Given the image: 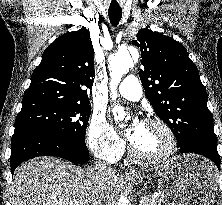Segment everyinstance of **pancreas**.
I'll return each mask as SVG.
<instances>
[{
    "label": "pancreas",
    "instance_id": "cf45deb5",
    "mask_svg": "<svg viewBox=\"0 0 222 205\" xmlns=\"http://www.w3.org/2000/svg\"><path fill=\"white\" fill-rule=\"evenodd\" d=\"M140 205H161V201L158 198L152 196H143L141 198Z\"/></svg>",
    "mask_w": 222,
    "mask_h": 205
}]
</instances>
